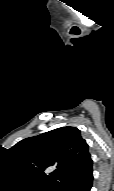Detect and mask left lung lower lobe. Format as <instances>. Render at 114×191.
Returning <instances> with one entry per match:
<instances>
[{"label":"left lung lower lobe","instance_id":"0a47b994","mask_svg":"<svg viewBox=\"0 0 114 191\" xmlns=\"http://www.w3.org/2000/svg\"><path fill=\"white\" fill-rule=\"evenodd\" d=\"M92 171V159L90 158L60 191H90L93 181Z\"/></svg>","mask_w":114,"mask_h":191}]
</instances>
